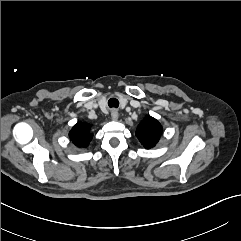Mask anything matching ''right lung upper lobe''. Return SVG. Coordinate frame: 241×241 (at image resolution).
I'll return each mask as SVG.
<instances>
[{
    "label": "right lung upper lobe",
    "mask_w": 241,
    "mask_h": 241,
    "mask_svg": "<svg viewBox=\"0 0 241 241\" xmlns=\"http://www.w3.org/2000/svg\"><path fill=\"white\" fill-rule=\"evenodd\" d=\"M90 124H83L78 122L69 132V137L71 141L80 148H86L92 139V134L90 133Z\"/></svg>",
    "instance_id": "1"
}]
</instances>
